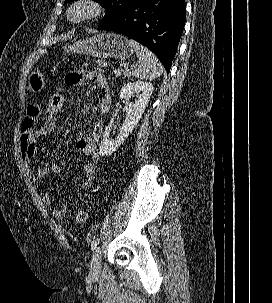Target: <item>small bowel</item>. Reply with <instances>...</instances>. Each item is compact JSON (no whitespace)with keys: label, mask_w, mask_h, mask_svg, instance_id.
<instances>
[{"label":"small bowel","mask_w":272,"mask_h":303,"mask_svg":"<svg viewBox=\"0 0 272 303\" xmlns=\"http://www.w3.org/2000/svg\"><path fill=\"white\" fill-rule=\"evenodd\" d=\"M86 81L93 82L98 87V109L101 114L107 113L111 104V94L107 79L101 72L97 70H79L68 74L66 77V82L72 86L80 85ZM40 113L41 110L38 103L32 102L27 106L26 114L21 125L20 140L21 158L27 175L36 189L40 188L49 171H52L55 174L61 173V168L56 163H52L49 168L40 167L34 169L31 166V163L35 158L38 141L52 133L37 126ZM102 131L103 121L98 120L91 132L82 136L77 141V149L82 154L89 157V161L83 166L84 179L81 182V188L83 190L91 188L96 178V164L100 160L96 145L102 135ZM40 200L43 204L49 205L51 203V196L47 192H41ZM66 211V204H61L59 207L53 209L52 214L55 218L62 219L65 217Z\"/></svg>","instance_id":"small-bowel-1"}]
</instances>
